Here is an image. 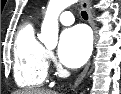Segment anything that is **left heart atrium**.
<instances>
[{
  "mask_svg": "<svg viewBox=\"0 0 121 94\" xmlns=\"http://www.w3.org/2000/svg\"><path fill=\"white\" fill-rule=\"evenodd\" d=\"M91 51V37L83 26L65 30L60 38L58 55L63 64L79 67L88 59Z\"/></svg>",
  "mask_w": 121,
  "mask_h": 94,
  "instance_id": "obj_1",
  "label": "left heart atrium"
}]
</instances>
